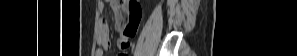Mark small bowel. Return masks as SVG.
Masks as SVG:
<instances>
[{"mask_svg": "<svg viewBox=\"0 0 297 56\" xmlns=\"http://www.w3.org/2000/svg\"><path fill=\"white\" fill-rule=\"evenodd\" d=\"M109 4L115 14V29L120 32L119 46L125 49L129 44V39L135 36L137 32L141 18L140 5L135 0H110ZM97 43L96 56H103L104 51L111 47L109 26L106 20H102L100 23ZM120 56H126V54L122 53Z\"/></svg>", "mask_w": 297, "mask_h": 56, "instance_id": "obj_1", "label": "small bowel"}]
</instances>
